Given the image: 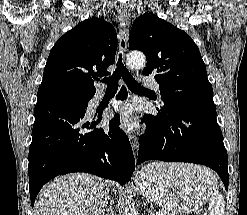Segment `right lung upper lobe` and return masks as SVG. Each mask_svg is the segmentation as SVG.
<instances>
[{
    "mask_svg": "<svg viewBox=\"0 0 247 215\" xmlns=\"http://www.w3.org/2000/svg\"><path fill=\"white\" fill-rule=\"evenodd\" d=\"M117 34L97 17L84 20L59 38L51 49L40 88H58L94 95V79L107 76L114 63Z\"/></svg>",
    "mask_w": 247,
    "mask_h": 215,
    "instance_id": "obj_1",
    "label": "right lung upper lobe"
}]
</instances>
